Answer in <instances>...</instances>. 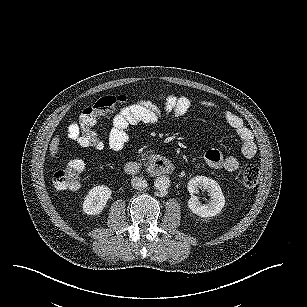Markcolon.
I'll return each instance as SVG.
<instances>
[{
  "label": "colon",
  "mask_w": 307,
  "mask_h": 307,
  "mask_svg": "<svg viewBox=\"0 0 307 307\" xmlns=\"http://www.w3.org/2000/svg\"><path fill=\"white\" fill-rule=\"evenodd\" d=\"M127 98L121 96H106L99 99L93 106L85 108L80 115L79 142L85 147L101 149L103 140L93 130V126L100 117L111 114L115 108L124 104ZM85 171V163L80 159L71 160L66 167L57 171L53 183L58 190H74L80 187ZM259 180V169L255 165H247L241 174V184L245 188H253Z\"/></svg>",
  "instance_id": "obj_1"
}]
</instances>
